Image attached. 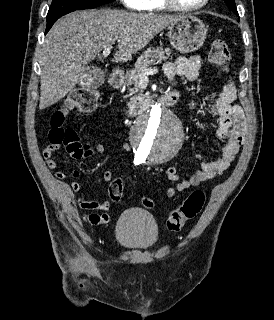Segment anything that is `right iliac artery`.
<instances>
[{"label": "right iliac artery", "instance_id": "1", "mask_svg": "<svg viewBox=\"0 0 274 320\" xmlns=\"http://www.w3.org/2000/svg\"><path fill=\"white\" fill-rule=\"evenodd\" d=\"M134 163H135V165H138V164L142 163V161L135 160Z\"/></svg>", "mask_w": 274, "mask_h": 320}]
</instances>
